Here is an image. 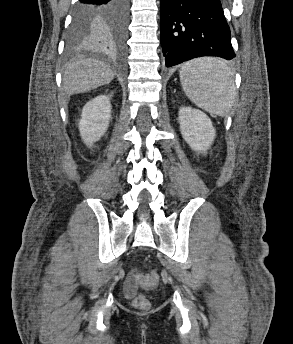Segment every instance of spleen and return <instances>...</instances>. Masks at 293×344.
<instances>
[{"instance_id":"3e777b00","label":"spleen","mask_w":293,"mask_h":344,"mask_svg":"<svg viewBox=\"0 0 293 344\" xmlns=\"http://www.w3.org/2000/svg\"><path fill=\"white\" fill-rule=\"evenodd\" d=\"M180 81L187 97L198 107L224 116L235 98V84L230 67L221 59L204 57L185 63Z\"/></svg>"}]
</instances>
